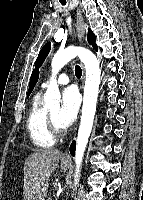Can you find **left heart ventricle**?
I'll return each mask as SVG.
<instances>
[{
	"label": "left heart ventricle",
	"instance_id": "b2bd125f",
	"mask_svg": "<svg viewBox=\"0 0 143 200\" xmlns=\"http://www.w3.org/2000/svg\"><path fill=\"white\" fill-rule=\"evenodd\" d=\"M58 112H59V109H58V108H54V109H51V110H50V113H51V115H52L54 121L56 122L57 126L60 127V128H62V127L59 125V123H58V119H57V117H58Z\"/></svg>",
	"mask_w": 143,
	"mask_h": 200
}]
</instances>
